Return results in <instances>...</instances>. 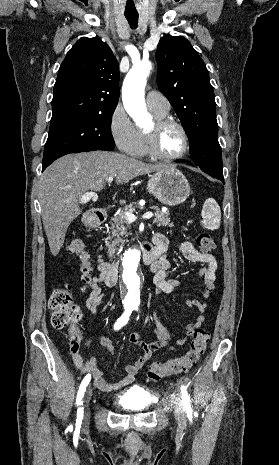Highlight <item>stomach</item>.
I'll return each mask as SVG.
<instances>
[{
    "label": "stomach",
    "mask_w": 279,
    "mask_h": 465,
    "mask_svg": "<svg viewBox=\"0 0 279 465\" xmlns=\"http://www.w3.org/2000/svg\"><path fill=\"white\" fill-rule=\"evenodd\" d=\"M147 188L167 206L179 205L190 195V185L186 177L174 167L158 170L149 179Z\"/></svg>",
    "instance_id": "0dacf381"
}]
</instances>
